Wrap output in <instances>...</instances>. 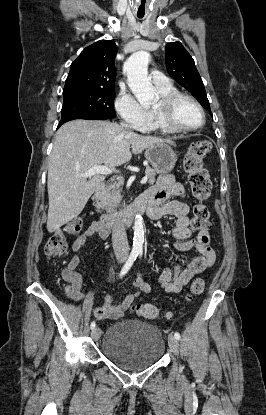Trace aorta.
Returning a JSON list of instances; mask_svg holds the SVG:
<instances>
[{
    "mask_svg": "<svg viewBox=\"0 0 266 415\" xmlns=\"http://www.w3.org/2000/svg\"><path fill=\"white\" fill-rule=\"evenodd\" d=\"M150 54L141 50L133 53L124 63L128 85L142 106H148L155 98V91L148 79V63ZM144 224L141 215L137 214L134 222L133 249L143 250Z\"/></svg>",
    "mask_w": 266,
    "mask_h": 415,
    "instance_id": "762f6f07",
    "label": "aorta"
}]
</instances>
